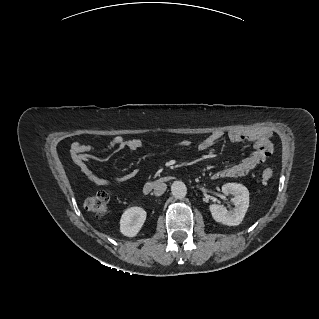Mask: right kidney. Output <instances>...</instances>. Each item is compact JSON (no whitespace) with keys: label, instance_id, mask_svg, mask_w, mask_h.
I'll return each instance as SVG.
<instances>
[{"label":"right kidney","instance_id":"obj_1","mask_svg":"<svg viewBox=\"0 0 319 319\" xmlns=\"http://www.w3.org/2000/svg\"><path fill=\"white\" fill-rule=\"evenodd\" d=\"M146 215V211L141 207L126 209L120 219V232L127 237L136 236L146 220Z\"/></svg>","mask_w":319,"mask_h":319}]
</instances>
